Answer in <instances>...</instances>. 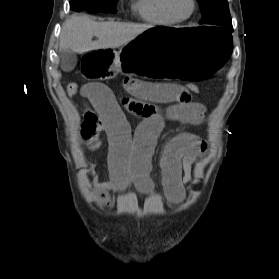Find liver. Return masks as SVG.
<instances>
[{
  "mask_svg": "<svg viewBox=\"0 0 279 279\" xmlns=\"http://www.w3.org/2000/svg\"><path fill=\"white\" fill-rule=\"evenodd\" d=\"M148 24L96 22L88 16H71L62 26L59 50L86 53L99 49L121 47L147 29ZM98 40L92 41L93 37Z\"/></svg>",
  "mask_w": 279,
  "mask_h": 279,
  "instance_id": "obj_1",
  "label": "liver"
}]
</instances>
